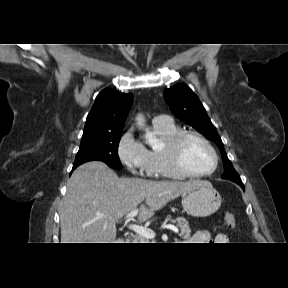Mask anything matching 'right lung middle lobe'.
Segmentation results:
<instances>
[{
    "label": "right lung middle lobe",
    "mask_w": 288,
    "mask_h": 288,
    "mask_svg": "<svg viewBox=\"0 0 288 288\" xmlns=\"http://www.w3.org/2000/svg\"><path fill=\"white\" fill-rule=\"evenodd\" d=\"M120 136L121 132H116L99 138L82 140L73 169L93 160L102 161L112 168L121 169L122 165L118 156Z\"/></svg>",
    "instance_id": "1"
}]
</instances>
